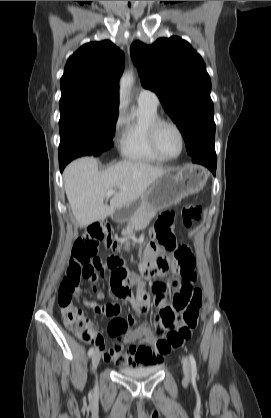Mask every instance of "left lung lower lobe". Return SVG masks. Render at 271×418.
<instances>
[{"label":"left lung lower lobe","mask_w":271,"mask_h":418,"mask_svg":"<svg viewBox=\"0 0 271 418\" xmlns=\"http://www.w3.org/2000/svg\"><path fill=\"white\" fill-rule=\"evenodd\" d=\"M194 163H199L209 168L215 175L216 172V153L215 150L201 154L193 158Z\"/></svg>","instance_id":"0a47b994"}]
</instances>
